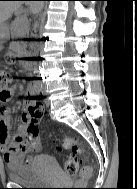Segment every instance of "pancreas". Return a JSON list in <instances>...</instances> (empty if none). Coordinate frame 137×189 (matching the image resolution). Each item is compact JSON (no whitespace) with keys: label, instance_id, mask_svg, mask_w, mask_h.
I'll list each match as a JSON object with an SVG mask.
<instances>
[{"label":"pancreas","instance_id":"obj_1","mask_svg":"<svg viewBox=\"0 0 137 189\" xmlns=\"http://www.w3.org/2000/svg\"><path fill=\"white\" fill-rule=\"evenodd\" d=\"M29 30V23L23 17H18L15 19L12 25V31L15 37H24L27 35Z\"/></svg>","mask_w":137,"mask_h":189}]
</instances>
